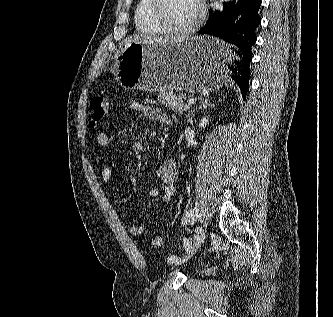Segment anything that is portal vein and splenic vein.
Instances as JSON below:
<instances>
[{
  "label": "portal vein and splenic vein",
  "instance_id": "portal-vein-and-splenic-vein-1",
  "mask_svg": "<svg viewBox=\"0 0 333 317\" xmlns=\"http://www.w3.org/2000/svg\"><path fill=\"white\" fill-rule=\"evenodd\" d=\"M195 103V100L194 99H188L187 101H186V104L187 105H193Z\"/></svg>",
  "mask_w": 333,
  "mask_h": 317
}]
</instances>
